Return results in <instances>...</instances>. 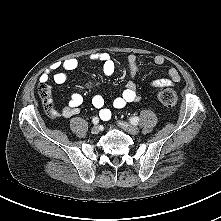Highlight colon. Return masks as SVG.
Returning <instances> with one entry per match:
<instances>
[{
	"label": "colon",
	"instance_id": "colon-1",
	"mask_svg": "<svg viewBox=\"0 0 221 221\" xmlns=\"http://www.w3.org/2000/svg\"><path fill=\"white\" fill-rule=\"evenodd\" d=\"M39 96L41 100L43 101V103L45 104L46 110L51 115H54L56 113V108L53 104L50 90L46 85L42 84L39 87ZM157 98L162 105L168 108L174 107L177 102L176 92L169 86L159 87L157 91Z\"/></svg>",
	"mask_w": 221,
	"mask_h": 221
}]
</instances>
